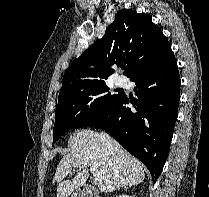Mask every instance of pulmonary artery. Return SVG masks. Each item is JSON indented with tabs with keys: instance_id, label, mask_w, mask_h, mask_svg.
<instances>
[{
	"instance_id": "1",
	"label": "pulmonary artery",
	"mask_w": 209,
	"mask_h": 197,
	"mask_svg": "<svg viewBox=\"0 0 209 197\" xmlns=\"http://www.w3.org/2000/svg\"><path fill=\"white\" fill-rule=\"evenodd\" d=\"M117 83H118V85H122L123 81L121 79H118Z\"/></svg>"
}]
</instances>
